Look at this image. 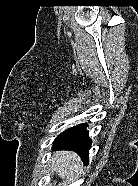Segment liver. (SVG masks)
Listing matches in <instances>:
<instances>
[{"label": "liver", "instance_id": "6515ba94", "mask_svg": "<svg viewBox=\"0 0 138 186\" xmlns=\"http://www.w3.org/2000/svg\"><path fill=\"white\" fill-rule=\"evenodd\" d=\"M52 169L64 180L78 173L82 168V162L79 156L71 151H58L52 159Z\"/></svg>", "mask_w": 138, "mask_h": 186}]
</instances>
